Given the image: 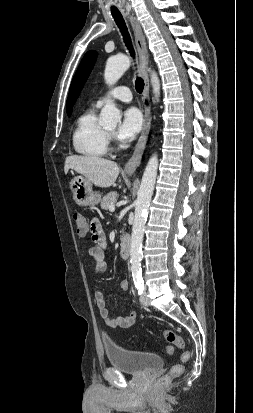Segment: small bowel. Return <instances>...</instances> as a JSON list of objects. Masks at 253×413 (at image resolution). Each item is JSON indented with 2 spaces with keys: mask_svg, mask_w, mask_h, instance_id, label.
I'll return each mask as SVG.
<instances>
[{
  "mask_svg": "<svg viewBox=\"0 0 253 413\" xmlns=\"http://www.w3.org/2000/svg\"><path fill=\"white\" fill-rule=\"evenodd\" d=\"M90 225V233L92 235V240L94 246L90 248V255L94 259V270L96 273L101 274L106 271L107 264L105 261V246L106 239L103 232L101 223L98 219H93ZM120 287L123 290L128 288L127 281L123 280L120 282ZM94 300L96 306L99 310L100 316L102 317L104 324L109 328H129L135 325L137 321V313L131 312L127 316L113 318L110 316L109 309L106 304L104 294L101 291H96L94 293Z\"/></svg>",
  "mask_w": 253,
  "mask_h": 413,
  "instance_id": "small-bowel-1",
  "label": "small bowel"
}]
</instances>
